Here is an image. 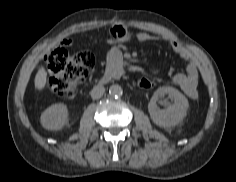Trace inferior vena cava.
Returning a JSON list of instances; mask_svg holds the SVG:
<instances>
[{
	"instance_id": "obj_1",
	"label": "inferior vena cava",
	"mask_w": 236,
	"mask_h": 182,
	"mask_svg": "<svg viewBox=\"0 0 236 182\" xmlns=\"http://www.w3.org/2000/svg\"><path fill=\"white\" fill-rule=\"evenodd\" d=\"M104 93H105V88L101 85L93 87V89L90 92L92 99H99L103 96Z\"/></svg>"
}]
</instances>
